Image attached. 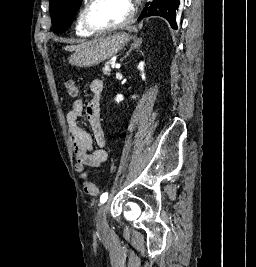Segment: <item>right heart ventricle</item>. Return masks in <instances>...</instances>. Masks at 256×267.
I'll return each mask as SVG.
<instances>
[{
  "instance_id": "right-heart-ventricle-1",
  "label": "right heart ventricle",
  "mask_w": 256,
  "mask_h": 267,
  "mask_svg": "<svg viewBox=\"0 0 256 267\" xmlns=\"http://www.w3.org/2000/svg\"><path fill=\"white\" fill-rule=\"evenodd\" d=\"M82 15L83 13H80L75 21L74 24V32L77 36H96L95 33H92L90 31H88L82 22Z\"/></svg>"
}]
</instances>
